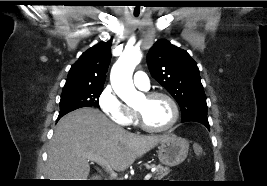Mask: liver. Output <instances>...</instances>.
Listing matches in <instances>:
<instances>
[{
    "label": "liver",
    "mask_w": 267,
    "mask_h": 186,
    "mask_svg": "<svg viewBox=\"0 0 267 186\" xmlns=\"http://www.w3.org/2000/svg\"><path fill=\"white\" fill-rule=\"evenodd\" d=\"M167 135H136L111 122L94 108H80L62 117L50 141L49 180H87L88 156L103 158L116 171H124Z\"/></svg>",
    "instance_id": "6515ba94"
}]
</instances>
